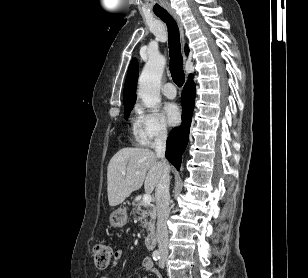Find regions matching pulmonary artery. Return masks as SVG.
<instances>
[{"label":"pulmonary artery","mask_w":308,"mask_h":278,"mask_svg":"<svg viewBox=\"0 0 308 278\" xmlns=\"http://www.w3.org/2000/svg\"><path fill=\"white\" fill-rule=\"evenodd\" d=\"M162 92L163 94L169 98V99H173L176 96V88L172 83H166L163 88H162Z\"/></svg>","instance_id":"e3ab8cb5"}]
</instances>
